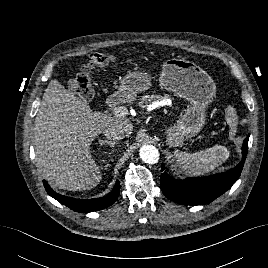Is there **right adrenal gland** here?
Here are the masks:
<instances>
[{
    "label": "right adrenal gland",
    "mask_w": 268,
    "mask_h": 268,
    "mask_svg": "<svg viewBox=\"0 0 268 268\" xmlns=\"http://www.w3.org/2000/svg\"><path fill=\"white\" fill-rule=\"evenodd\" d=\"M117 141H107V140H100V145H109L112 149L114 148V146L116 145ZM110 161V160H109ZM109 164L107 163L106 164V167L108 166Z\"/></svg>",
    "instance_id": "right-adrenal-gland-1"
}]
</instances>
